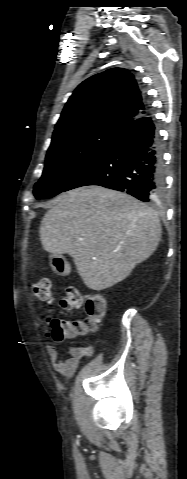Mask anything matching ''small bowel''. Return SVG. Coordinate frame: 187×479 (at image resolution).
Here are the masks:
<instances>
[{"mask_svg": "<svg viewBox=\"0 0 187 479\" xmlns=\"http://www.w3.org/2000/svg\"><path fill=\"white\" fill-rule=\"evenodd\" d=\"M46 352L50 358L53 369L65 377H70L75 372L82 357L91 358L93 356V349L91 347L79 345L69 347L66 355L62 357L59 356L58 350L53 344L46 345Z\"/></svg>", "mask_w": 187, "mask_h": 479, "instance_id": "c3829d8e", "label": "small bowel"}]
</instances>
